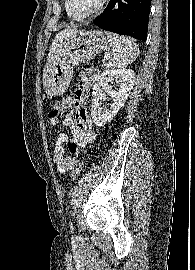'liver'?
I'll use <instances>...</instances> for the list:
<instances>
[{"instance_id": "1", "label": "liver", "mask_w": 195, "mask_h": 270, "mask_svg": "<svg viewBox=\"0 0 195 270\" xmlns=\"http://www.w3.org/2000/svg\"><path fill=\"white\" fill-rule=\"evenodd\" d=\"M76 31H77V28H76L75 26H73V27H69V28H67V29H64L63 31L59 32V33L55 36V38H54V40H53V43H52V45H51V48H50L48 57H47V61H50L51 59L54 58L55 51H56V49H57V47H58V41H59L62 37H64L65 35H70V34L76 32Z\"/></svg>"}]
</instances>
